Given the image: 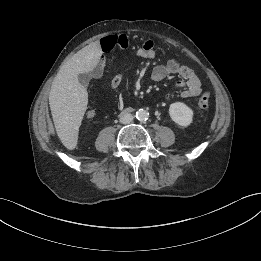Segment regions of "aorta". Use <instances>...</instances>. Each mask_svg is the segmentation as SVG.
Returning <instances> with one entry per match:
<instances>
[{
    "instance_id": "aorta-1",
    "label": "aorta",
    "mask_w": 261,
    "mask_h": 261,
    "mask_svg": "<svg viewBox=\"0 0 261 261\" xmlns=\"http://www.w3.org/2000/svg\"><path fill=\"white\" fill-rule=\"evenodd\" d=\"M149 117V112L145 109H139L136 112V118L140 121H146Z\"/></svg>"
}]
</instances>
